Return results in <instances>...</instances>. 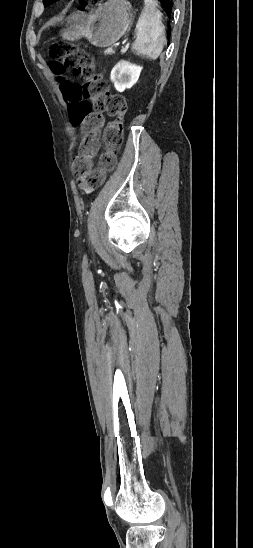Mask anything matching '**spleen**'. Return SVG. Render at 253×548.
Wrapping results in <instances>:
<instances>
[{"mask_svg": "<svg viewBox=\"0 0 253 548\" xmlns=\"http://www.w3.org/2000/svg\"><path fill=\"white\" fill-rule=\"evenodd\" d=\"M144 2L145 6L136 24L137 38L132 45V50L138 55L155 60L161 54L166 41L165 27L155 0H144Z\"/></svg>", "mask_w": 253, "mask_h": 548, "instance_id": "spleen-1", "label": "spleen"}]
</instances>
